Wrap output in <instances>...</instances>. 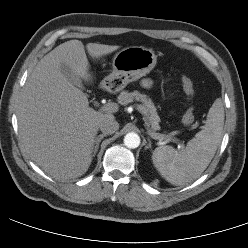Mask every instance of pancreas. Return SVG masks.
<instances>
[{
	"label": "pancreas",
	"instance_id": "obj_1",
	"mask_svg": "<svg viewBox=\"0 0 248 248\" xmlns=\"http://www.w3.org/2000/svg\"><path fill=\"white\" fill-rule=\"evenodd\" d=\"M133 101H139L142 103V106L145 110L144 121L148 129V133H155L163 138H168V136L156 133L157 130H160L159 122L160 118L157 114V109L152 102V100L145 94H141L139 91L128 92L123 91L118 96V102L121 105H127Z\"/></svg>",
	"mask_w": 248,
	"mask_h": 248
}]
</instances>
